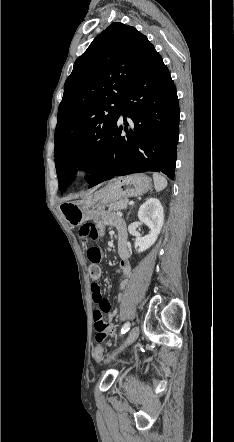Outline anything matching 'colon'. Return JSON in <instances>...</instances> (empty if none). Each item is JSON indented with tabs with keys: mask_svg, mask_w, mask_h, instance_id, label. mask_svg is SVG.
I'll return each mask as SVG.
<instances>
[{
	"mask_svg": "<svg viewBox=\"0 0 234 442\" xmlns=\"http://www.w3.org/2000/svg\"><path fill=\"white\" fill-rule=\"evenodd\" d=\"M79 235L82 240L87 237L91 239L97 238V229L93 224H85L79 230ZM87 257L91 262L89 267V273L92 279L97 280L101 277V268L98 263L101 260V251L96 246H89L87 249ZM92 298L94 303L97 305L93 312V317L95 314H106L110 310V303L108 300L104 299L101 294L100 287L98 285L94 286L92 289ZM96 329V328H95ZM94 360L97 363L102 362L103 357V346L96 344L93 347Z\"/></svg>",
	"mask_w": 234,
	"mask_h": 442,
	"instance_id": "1",
	"label": "colon"
}]
</instances>
